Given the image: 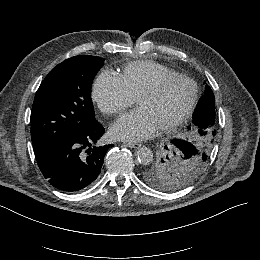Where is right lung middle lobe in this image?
<instances>
[{
    "instance_id": "right-lung-middle-lobe-1",
    "label": "right lung middle lobe",
    "mask_w": 260,
    "mask_h": 260,
    "mask_svg": "<svg viewBox=\"0 0 260 260\" xmlns=\"http://www.w3.org/2000/svg\"><path fill=\"white\" fill-rule=\"evenodd\" d=\"M103 64L101 57L74 56L42 81L31 110L35 156L84 136L96 123L91 85Z\"/></svg>"
}]
</instances>
